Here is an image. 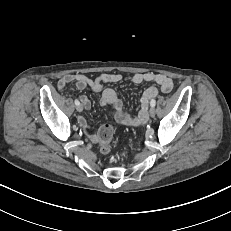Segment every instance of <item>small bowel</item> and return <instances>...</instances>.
Wrapping results in <instances>:
<instances>
[{"label": "small bowel", "mask_w": 231, "mask_h": 231, "mask_svg": "<svg viewBox=\"0 0 231 231\" xmlns=\"http://www.w3.org/2000/svg\"><path fill=\"white\" fill-rule=\"evenodd\" d=\"M122 75L118 73H102L94 78H89L83 74H67L58 81V89L64 91L68 83H74L78 90L90 88L93 92L101 94L100 103L103 106H109L114 111V118L117 123L124 126H137L146 122L148 102L158 95V88L155 86L148 87L141 97V109L137 116L131 117L123 110L122 101L118 98L116 92L110 88H104L106 83H117L122 80ZM130 81L134 84L154 83L159 86L163 93H168L172 90V80L163 74H155L152 72L136 73ZM83 106L86 109L91 107V102L88 97H80ZM80 125L84 129H88L89 125L84 119L79 120ZM89 140L93 143H99V136L95 134L88 135Z\"/></svg>", "instance_id": "small-bowel-1"}]
</instances>
